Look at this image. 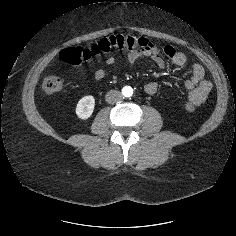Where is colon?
Instances as JSON below:
<instances>
[{"label": "colon", "instance_id": "1", "mask_svg": "<svg viewBox=\"0 0 236 236\" xmlns=\"http://www.w3.org/2000/svg\"><path fill=\"white\" fill-rule=\"evenodd\" d=\"M149 45L147 39L132 35H112L100 39L89 47L75 46L63 49L59 58L62 62L69 65H80L89 61L92 57H100L108 54L113 50H129L140 51ZM62 87V82L59 76L54 71L48 72L43 80V89L47 93H56ZM189 111L194 110V105L187 104Z\"/></svg>", "mask_w": 236, "mask_h": 236}]
</instances>
